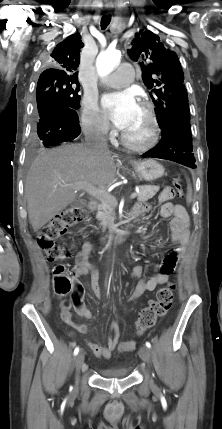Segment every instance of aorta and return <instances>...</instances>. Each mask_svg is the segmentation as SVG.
Returning <instances> with one entry per match:
<instances>
[{
    "label": "aorta",
    "instance_id": "obj_1",
    "mask_svg": "<svg viewBox=\"0 0 222 429\" xmlns=\"http://www.w3.org/2000/svg\"><path fill=\"white\" fill-rule=\"evenodd\" d=\"M121 52L115 49H108L101 52L96 60L97 72L100 76L108 75L119 64Z\"/></svg>",
    "mask_w": 222,
    "mask_h": 429
}]
</instances>
